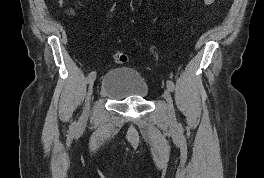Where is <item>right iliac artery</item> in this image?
Here are the masks:
<instances>
[{"instance_id": "obj_1", "label": "right iliac artery", "mask_w": 264, "mask_h": 178, "mask_svg": "<svg viewBox=\"0 0 264 178\" xmlns=\"http://www.w3.org/2000/svg\"><path fill=\"white\" fill-rule=\"evenodd\" d=\"M95 76H96V72H91V73H89V75H88V77H87L88 82H90V80H91L92 78H94Z\"/></svg>"}]
</instances>
